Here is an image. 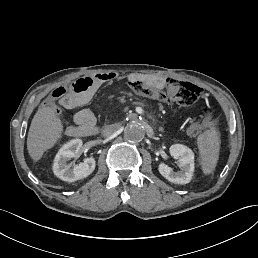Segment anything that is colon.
<instances>
[{"label": "colon", "instance_id": "colon-1", "mask_svg": "<svg viewBox=\"0 0 258 258\" xmlns=\"http://www.w3.org/2000/svg\"><path fill=\"white\" fill-rule=\"evenodd\" d=\"M73 85L69 86L72 89ZM132 89L139 95L155 99V100H171L182 106H190L196 103L202 90L197 85L180 81L173 78H169L165 82V90H161L154 85H149L143 81H135L131 83ZM67 92V87L60 86L53 90L51 97L53 99H59L63 97ZM46 106H52V102H46ZM214 109L212 106H205L201 109V119L193 122L188 127V133L191 136L199 135L205 126L207 125L208 120L213 116Z\"/></svg>", "mask_w": 258, "mask_h": 258}]
</instances>
